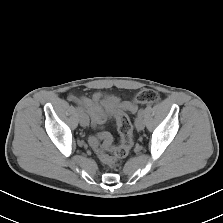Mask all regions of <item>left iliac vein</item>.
I'll use <instances>...</instances> for the list:
<instances>
[{"label": "left iliac vein", "instance_id": "obj_1", "mask_svg": "<svg viewBox=\"0 0 223 223\" xmlns=\"http://www.w3.org/2000/svg\"><path fill=\"white\" fill-rule=\"evenodd\" d=\"M135 127L139 131L144 129V121H143V118L142 117L138 116L135 119Z\"/></svg>", "mask_w": 223, "mask_h": 223}]
</instances>
